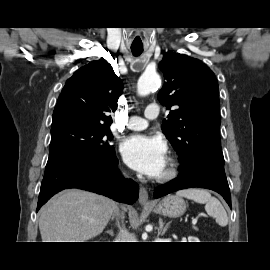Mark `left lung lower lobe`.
<instances>
[{"mask_svg": "<svg viewBox=\"0 0 270 270\" xmlns=\"http://www.w3.org/2000/svg\"><path fill=\"white\" fill-rule=\"evenodd\" d=\"M190 187L207 188L218 192L231 207V195L224 171V158L213 154H196L189 162L180 164L177 178L158 187L154 197Z\"/></svg>", "mask_w": 270, "mask_h": 270, "instance_id": "obj_1", "label": "left lung lower lobe"}]
</instances>
